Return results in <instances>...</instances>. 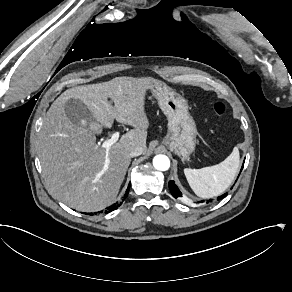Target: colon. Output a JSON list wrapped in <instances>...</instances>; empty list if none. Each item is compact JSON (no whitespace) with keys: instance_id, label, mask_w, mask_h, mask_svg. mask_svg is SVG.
Returning <instances> with one entry per match:
<instances>
[{"instance_id":"1","label":"colon","mask_w":292,"mask_h":292,"mask_svg":"<svg viewBox=\"0 0 292 292\" xmlns=\"http://www.w3.org/2000/svg\"><path fill=\"white\" fill-rule=\"evenodd\" d=\"M213 113L217 118H223L226 113V105L223 102L217 101L213 104Z\"/></svg>"}]
</instances>
